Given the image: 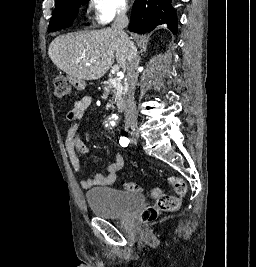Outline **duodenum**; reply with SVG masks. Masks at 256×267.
<instances>
[{
	"mask_svg": "<svg viewBox=\"0 0 256 267\" xmlns=\"http://www.w3.org/2000/svg\"><path fill=\"white\" fill-rule=\"evenodd\" d=\"M68 82H71L74 88H87L86 81H82L79 77H68ZM117 108L120 113H125L127 109L126 101H119L117 103Z\"/></svg>",
	"mask_w": 256,
	"mask_h": 267,
	"instance_id": "duodenum-1",
	"label": "duodenum"
}]
</instances>
